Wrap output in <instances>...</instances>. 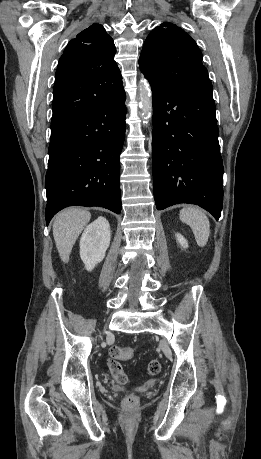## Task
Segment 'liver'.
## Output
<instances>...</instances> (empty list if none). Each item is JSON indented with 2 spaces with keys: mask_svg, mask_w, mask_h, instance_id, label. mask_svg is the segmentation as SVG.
I'll return each instance as SVG.
<instances>
[{
  "mask_svg": "<svg viewBox=\"0 0 261 459\" xmlns=\"http://www.w3.org/2000/svg\"><path fill=\"white\" fill-rule=\"evenodd\" d=\"M91 219L87 210L70 208L60 212L53 223V236L61 260L68 262L71 250Z\"/></svg>",
  "mask_w": 261,
  "mask_h": 459,
  "instance_id": "obj_1",
  "label": "liver"
}]
</instances>
